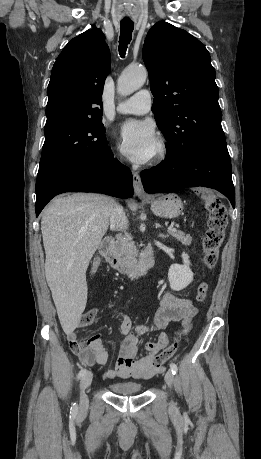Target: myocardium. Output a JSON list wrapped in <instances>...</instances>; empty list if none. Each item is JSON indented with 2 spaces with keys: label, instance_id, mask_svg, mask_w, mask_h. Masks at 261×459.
<instances>
[{
  "label": "myocardium",
  "instance_id": "f54148a6",
  "mask_svg": "<svg viewBox=\"0 0 261 459\" xmlns=\"http://www.w3.org/2000/svg\"><path fill=\"white\" fill-rule=\"evenodd\" d=\"M167 153H168V147H167L166 142L164 140H159L157 142L156 151L152 157V162L159 163L163 161L166 158Z\"/></svg>",
  "mask_w": 261,
  "mask_h": 459
}]
</instances>
